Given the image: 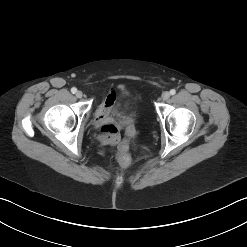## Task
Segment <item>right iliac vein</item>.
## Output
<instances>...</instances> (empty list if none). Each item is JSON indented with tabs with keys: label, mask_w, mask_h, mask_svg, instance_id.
Wrapping results in <instances>:
<instances>
[{
	"label": "right iliac vein",
	"mask_w": 247,
	"mask_h": 247,
	"mask_svg": "<svg viewBox=\"0 0 247 247\" xmlns=\"http://www.w3.org/2000/svg\"><path fill=\"white\" fill-rule=\"evenodd\" d=\"M82 96H83L82 91H77V92H76V97H77V98H82Z\"/></svg>",
	"instance_id": "63e3f726"
}]
</instances>
